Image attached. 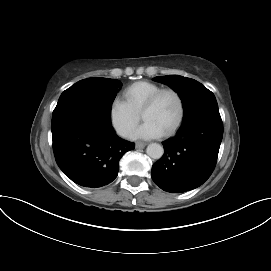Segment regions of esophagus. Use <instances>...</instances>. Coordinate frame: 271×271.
Listing matches in <instances>:
<instances>
[{
	"mask_svg": "<svg viewBox=\"0 0 271 271\" xmlns=\"http://www.w3.org/2000/svg\"><path fill=\"white\" fill-rule=\"evenodd\" d=\"M145 146H146V143H144V142H136V144H135L136 149H142Z\"/></svg>",
	"mask_w": 271,
	"mask_h": 271,
	"instance_id": "esophagus-1",
	"label": "esophagus"
}]
</instances>
